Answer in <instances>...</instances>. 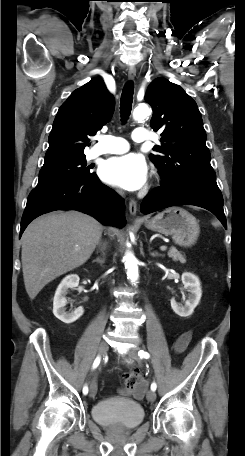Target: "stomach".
Listing matches in <instances>:
<instances>
[{
    "label": "stomach",
    "mask_w": 245,
    "mask_h": 456,
    "mask_svg": "<svg viewBox=\"0 0 245 456\" xmlns=\"http://www.w3.org/2000/svg\"><path fill=\"white\" fill-rule=\"evenodd\" d=\"M147 229L171 236L173 241L184 247L193 245L200 228L195 217L180 207H171L144 221Z\"/></svg>",
    "instance_id": "stomach-1"
}]
</instances>
